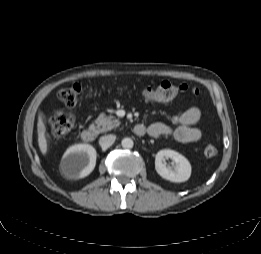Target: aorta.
I'll use <instances>...</instances> for the list:
<instances>
[{
	"label": "aorta",
	"instance_id": "aorta-1",
	"mask_svg": "<svg viewBox=\"0 0 261 254\" xmlns=\"http://www.w3.org/2000/svg\"><path fill=\"white\" fill-rule=\"evenodd\" d=\"M121 145L125 149H131L134 145V142L131 138L126 137L122 139Z\"/></svg>",
	"mask_w": 261,
	"mask_h": 254
}]
</instances>
